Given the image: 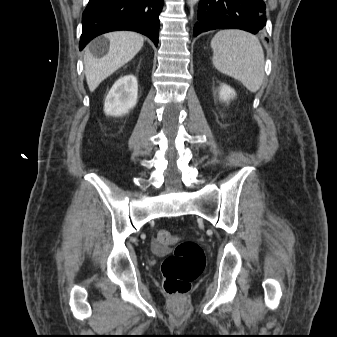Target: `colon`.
Returning <instances> with one entry per match:
<instances>
[{"label": "colon", "mask_w": 337, "mask_h": 337, "mask_svg": "<svg viewBox=\"0 0 337 337\" xmlns=\"http://www.w3.org/2000/svg\"><path fill=\"white\" fill-rule=\"evenodd\" d=\"M171 245H175L174 251L161 265L163 288L168 295L182 296L190 291L193 281L202 273L205 253L197 242L179 241L170 231L159 230L153 243L154 250L163 251Z\"/></svg>", "instance_id": "obj_1"}]
</instances>
